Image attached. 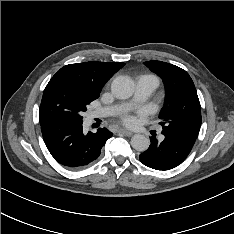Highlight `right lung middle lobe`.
<instances>
[{
	"label": "right lung middle lobe",
	"mask_w": 234,
	"mask_h": 234,
	"mask_svg": "<svg viewBox=\"0 0 234 234\" xmlns=\"http://www.w3.org/2000/svg\"><path fill=\"white\" fill-rule=\"evenodd\" d=\"M97 98L98 95L86 94L62 81L50 80L40 105V124L53 120L81 121L87 105Z\"/></svg>",
	"instance_id": "1"
}]
</instances>
